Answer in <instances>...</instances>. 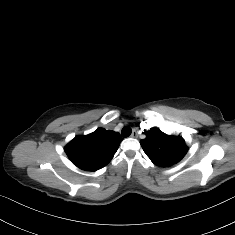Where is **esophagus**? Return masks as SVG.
I'll use <instances>...</instances> for the list:
<instances>
[{
	"label": "esophagus",
	"mask_w": 235,
	"mask_h": 235,
	"mask_svg": "<svg viewBox=\"0 0 235 235\" xmlns=\"http://www.w3.org/2000/svg\"><path fill=\"white\" fill-rule=\"evenodd\" d=\"M131 137L132 138H137L138 137V134H137L136 130H133V132L131 133Z\"/></svg>",
	"instance_id": "obj_1"
}]
</instances>
